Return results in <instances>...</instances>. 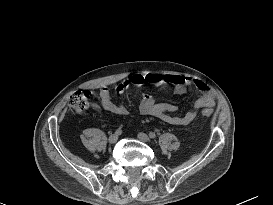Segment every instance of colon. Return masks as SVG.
Here are the masks:
<instances>
[{
  "label": "colon",
  "instance_id": "5ec220e1",
  "mask_svg": "<svg viewBox=\"0 0 273 205\" xmlns=\"http://www.w3.org/2000/svg\"><path fill=\"white\" fill-rule=\"evenodd\" d=\"M92 98L93 93L90 90H79L70 94L68 103L72 110L77 113H83L91 106ZM202 114L205 117H210L212 115V111L209 109H204Z\"/></svg>",
  "mask_w": 273,
  "mask_h": 205
}]
</instances>
